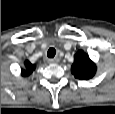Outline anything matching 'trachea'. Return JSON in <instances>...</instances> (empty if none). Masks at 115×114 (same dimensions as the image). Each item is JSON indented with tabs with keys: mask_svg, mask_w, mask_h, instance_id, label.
Wrapping results in <instances>:
<instances>
[{
	"mask_svg": "<svg viewBox=\"0 0 115 114\" xmlns=\"http://www.w3.org/2000/svg\"><path fill=\"white\" fill-rule=\"evenodd\" d=\"M56 55V50L54 48H49L48 52H47V56L49 58H53Z\"/></svg>",
	"mask_w": 115,
	"mask_h": 114,
	"instance_id": "obj_1",
	"label": "trachea"
}]
</instances>
